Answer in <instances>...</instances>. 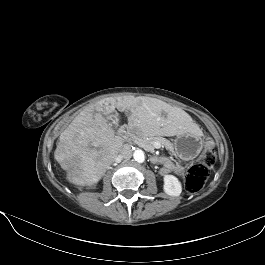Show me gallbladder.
Wrapping results in <instances>:
<instances>
[{
	"instance_id": "gallbladder-1",
	"label": "gallbladder",
	"mask_w": 265,
	"mask_h": 265,
	"mask_svg": "<svg viewBox=\"0 0 265 265\" xmlns=\"http://www.w3.org/2000/svg\"><path fill=\"white\" fill-rule=\"evenodd\" d=\"M108 118L112 122L113 127L115 129H117V127L119 125V117H118V115L117 114H113L112 116H109Z\"/></svg>"
}]
</instances>
